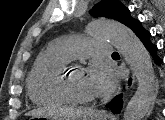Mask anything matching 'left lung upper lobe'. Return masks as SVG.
Instances as JSON below:
<instances>
[{
	"label": "left lung upper lobe",
	"instance_id": "5c2ea615",
	"mask_svg": "<svg viewBox=\"0 0 165 120\" xmlns=\"http://www.w3.org/2000/svg\"><path fill=\"white\" fill-rule=\"evenodd\" d=\"M92 16H105L115 19L127 27L135 20L130 16V11L118 0H102L91 10Z\"/></svg>",
	"mask_w": 165,
	"mask_h": 120
}]
</instances>
